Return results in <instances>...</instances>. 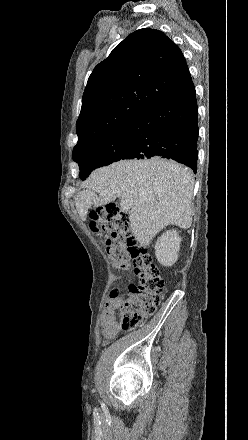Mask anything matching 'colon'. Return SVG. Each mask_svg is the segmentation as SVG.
<instances>
[{"label":"colon","instance_id":"obj_1","mask_svg":"<svg viewBox=\"0 0 248 440\" xmlns=\"http://www.w3.org/2000/svg\"><path fill=\"white\" fill-rule=\"evenodd\" d=\"M91 227L104 234L106 249L115 267L126 269L132 262L139 276L138 283L130 285L126 292L119 288L110 292V302L120 311L121 327L135 329L155 313L165 288L164 281L153 268L146 267L148 255L131 232L128 214L116 204L95 210Z\"/></svg>","mask_w":248,"mask_h":440}]
</instances>
